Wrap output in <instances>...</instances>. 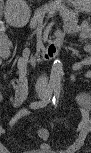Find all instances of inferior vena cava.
I'll use <instances>...</instances> for the list:
<instances>
[{
  "mask_svg": "<svg viewBox=\"0 0 91 153\" xmlns=\"http://www.w3.org/2000/svg\"><path fill=\"white\" fill-rule=\"evenodd\" d=\"M47 87V77L42 75L39 77L36 83V89L37 90H45Z\"/></svg>",
  "mask_w": 91,
  "mask_h": 153,
  "instance_id": "inferior-vena-cava-1",
  "label": "inferior vena cava"
}]
</instances>
